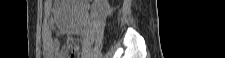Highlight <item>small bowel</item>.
Masks as SVG:
<instances>
[{
    "instance_id": "obj_1",
    "label": "small bowel",
    "mask_w": 225,
    "mask_h": 58,
    "mask_svg": "<svg viewBox=\"0 0 225 58\" xmlns=\"http://www.w3.org/2000/svg\"><path fill=\"white\" fill-rule=\"evenodd\" d=\"M52 10V4L47 3L45 6V23H44V28H43V50L44 53L49 57V58H54V57H62V55L59 54V50L61 47V44L59 40H57L54 37V29H55V21L53 18L50 17V13ZM60 31L62 33L67 32V29L65 28H60ZM75 32V31H72ZM71 41L73 40L72 38L70 39Z\"/></svg>"
}]
</instances>
